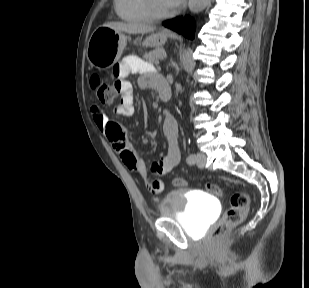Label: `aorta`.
I'll use <instances>...</instances> for the list:
<instances>
[{"label": "aorta", "instance_id": "aorta-1", "mask_svg": "<svg viewBox=\"0 0 309 288\" xmlns=\"http://www.w3.org/2000/svg\"><path fill=\"white\" fill-rule=\"evenodd\" d=\"M210 3L211 0H189L188 6L191 12L199 13L203 11Z\"/></svg>", "mask_w": 309, "mask_h": 288}]
</instances>
